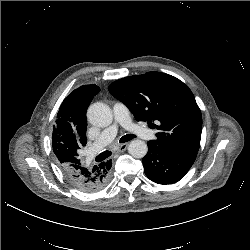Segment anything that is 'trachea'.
I'll use <instances>...</instances> for the list:
<instances>
[{
    "label": "trachea",
    "instance_id": "obj_1",
    "mask_svg": "<svg viewBox=\"0 0 250 250\" xmlns=\"http://www.w3.org/2000/svg\"><path fill=\"white\" fill-rule=\"evenodd\" d=\"M135 137H136V136L133 135V134H127V135L123 136V137L120 139L119 142H120V143H125V142H128V141L132 140V139L135 138ZM111 154H112V152H110V151H104V152H102V153L97 157V159L100 160V161H102V160L108 158Z\"/></svg>",
    "mask_w": 250,
    "mask_h": 250
}]
</instances>
